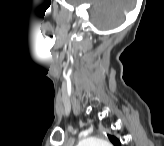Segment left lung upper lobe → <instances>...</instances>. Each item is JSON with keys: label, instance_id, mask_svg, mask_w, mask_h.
Instances as JSON below:
<instances>
[{"label": "left lung upper lobe", "instance_id": "left-lung-upper-lobe-1", "mask_svg": "<svg viewBox=\"0 0 164 146\" xmlns=\"http://www.w3.org/2000/svg\"><path fill=\"white\" fill-rule=\"evenodd\" d=\"M108 138L110 139V141H111L115 146H120V142H119V140H118L116 137H114V136H112V135H108Z\"/></svg>", "mask_w": 164, "mask_h": 146}]
</instances>
